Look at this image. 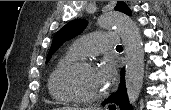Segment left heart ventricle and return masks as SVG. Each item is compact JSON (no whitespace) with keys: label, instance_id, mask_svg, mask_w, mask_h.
<instances>
[{"label":"left heart ventricle","instance_id":"b2bd125f","mask_svg":"<svg viewBox=\"0 0 171 110\" xmlns=\"http://www.w3.org/2000/svg\"><path fill=\"white\" fill-rule=\"evenodd\" d=\"M70 85L85 97H95L106 90L95 69H81L73 73L69 79Z\"/></svg>","mask_w":171,"mask_h":110}]
</instances>
